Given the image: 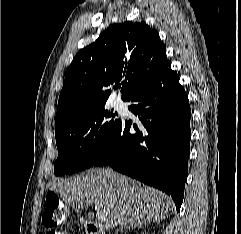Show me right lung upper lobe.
Listing matches in <instances>:
<instances>
[{
	"label": "right lung upper lobe",
	"mask_w": 241,
	"mask_h": 234,
	"mask_svg": "<svg viewBox=\"0 0 241 234\" xmlns=\"http://www.w3.org/2000/svg\"><path fill=\"white\" fill-rule=\"evenodd\" d=\"M169 63L158 32L144 21L109 26L70 64L59 96L55 131L104 107L111 94L108 87L116 88L121 81V98L128 101Z\"/></svg>",
	"instance_id": "right-lung-upper-lobe-1"
}]
</instances>
